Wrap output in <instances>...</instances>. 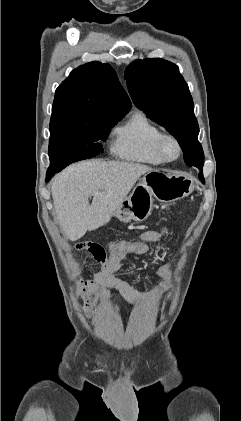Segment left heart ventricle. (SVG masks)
Listing matches in <instances>:
<instances>
[{
	"mask_svg": "<svg viewBox=\"0 0 241 421\" xmlns=\"http://www.w3.org/2000/svg\"><path fill=\"white\" fill-rule=\"evenodd\" d=\"M165 151L168 156H173L176 152L175 145L172 142H167L165 144Z\"/></svg>",
	"mask_w": 241,
	"mask_h": 421,
	"instance_id": "1",
	"label": "left heart ventricle"
}]
</instances>
